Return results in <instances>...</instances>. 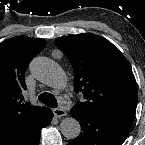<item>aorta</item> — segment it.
<instances>
[{"instance_id": "762f6f07", "label": "aorta", "mask_w": 145, "mask_h": 145, "mask_svg": "<svg viewBox=\"0 0 145 145\" xmlns=\"http://www.w3.org/2000/svg\"><path fill=\"white\" fill-rule=\"evenodd\" d=\"M32 74L42 83L56 89L66 85V77L57 63L45 57H37L30 64ZM60 130L67 139H75L81 132L80 123L73 117H66L60 124Z\"/></svg>"}]
</instances>
